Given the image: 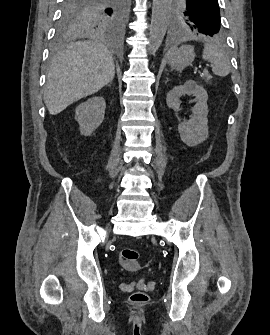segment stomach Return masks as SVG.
Wrapping results in <instances>:
<instances>
[{"instance_id":"obj_1","label":"stomach","mask_w":270,"mask_h":335,"mask_svg":"<svg viewBox=\"0 0 270 335\" xmlns=\"http://www.w3.org/2000/svg\"><path fill=\"white\" fill-rule=\"evenodd\" d=\"M195 58L193 46H181L178 50H169L167 54V60H169L170 66L181 72L186 66H189L190 62H193Z\"/></svg>"}]
</instances>
